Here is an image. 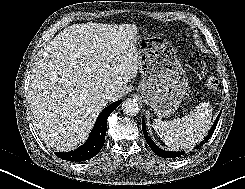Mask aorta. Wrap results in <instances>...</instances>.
<instances>
[{
  "instance_id": "762f6f07",
  "label": "aorta",
  "mask_w": 245,
  "mask_h": 189,
  "mask_svg": "<svg viewBox=\"0 0 245 189\" xmlns=\"http://www.w3.org/2000/svg\"><path fill=\"white\" fill-rule=\"evenodd\" d=\"M122 110L126 115L136 116L139 113L140 108L137 100L128 98L122 103Z\"/></svg>"
}]
</instances>
